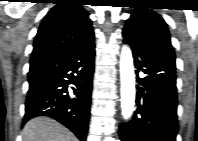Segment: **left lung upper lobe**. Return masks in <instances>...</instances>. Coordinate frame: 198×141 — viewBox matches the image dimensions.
<instances>
[{
  "instance_id": "1",
  "label": "left lung upper lobe",
  "mask_w": 198,
  "mask_h": 141,
  "mask_svg": "<svg viewBox=\"0 0 198 141\" xmlns=\"http://www.w3.org/2000/svg\"><path fill=\"white\" fill-rule=\"evenodd\" d=\"M147 5L139 3L134 6L136 10L127 20L123 34L143 46H169L173 50L166 22L158 13L147 9Z\"/></svg>"
}]
</instances>
